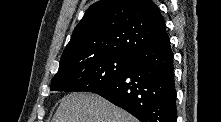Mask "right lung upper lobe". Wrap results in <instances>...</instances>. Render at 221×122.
Returning a JSON list of instances; mask_svg holds the SVG:
<instances>
[{
  "instance_id": "1",
  "label": "right lung upper lobe",
  "mask_w": 221,
  "mask_h": 122,
  "mask_svg": "<svg viewBox=\"0 0 221 122\" xmlns=\"http://www.w3.org/2000/svg\"><path fill=\"white\" fill-rule=\"evenodd\" d=\"M165 31L164 19L151 0L98 1L75 27L57 74L102 56L134 57Z\"/></svg>"
}]
</instances>
